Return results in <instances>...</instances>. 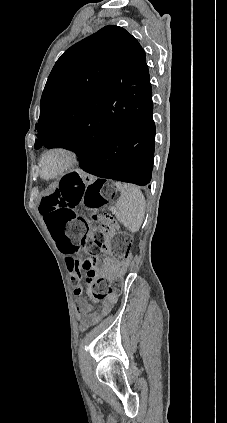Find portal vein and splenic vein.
<instances>
[{
	"mask_svg": "<svg viewBox=\"0 0 227 423\" xmlns=\"http://www.w3.org/2000/svg\"><path fill=\"white\" fill-rule=\"evenodd\" d=\"M111 212H112V213H115V212H116V206H115V205H112V206H111Z\"/></svg>",
	"mask_w": 227,
	"mask_h": 423,
	"instance_id": "portal-vein-and-splenic-vein-1",
	"label": "portal vein and splenic vein"
}]
</instances>
